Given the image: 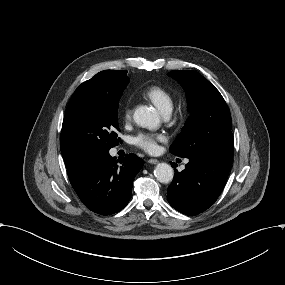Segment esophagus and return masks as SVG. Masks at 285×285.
Segmentation results:
<instances>
[{
    "label": "esophagus",
    "instance_id": "esophagus-1",
    "mask_svg": "<svg viewBox=\"0 0 285 285\" xmlns=\"http://www.w3.org/2000/svg\"><path fill=\"white\" fill-rule=\"evenodd\" d=\"M148 163H150V164H157L158 160L157 159H149Z\"/></svg>",
    "mask_w": 285,
    "mask_h": 285
}]
</instances>
